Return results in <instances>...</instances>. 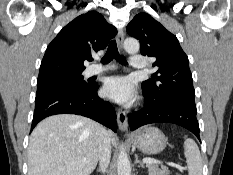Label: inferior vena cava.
I'll use <instances>...</instances> for the list:
<instances>
[{"instance_id":"1","label":"inferior vena cava","mask_w":233,"mask_h":175,"mask_svg":"<svg viewBox=\"0 0 233 175\" xmlns=\"http://www.w3.org/2000/svg\"><path fill=\"white\" fill-rule=\"evenodd\" d=\"M98 153L100 169L104 173L111 158V144L108 133L103 127L100 128Z\"/></svg>"}]
</instances>
